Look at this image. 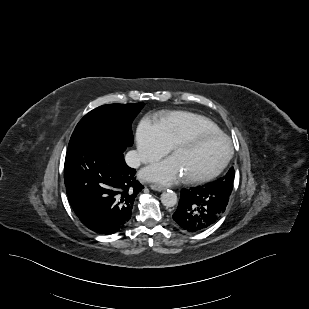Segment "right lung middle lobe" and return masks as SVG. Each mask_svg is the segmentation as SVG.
I'll use <instances>...</instances> for the list:
<instances>
[{
    "mask_svg": "<svg viewBox=\"0 0 309 309\" xmlns=\"http://www.w3.org/2000/svg\"><path fill=\"white\" fill-rule=\"evenodd\" d=\"M144 103L108 104L95 108L77 124L71 138L86 132H98L116 137L126 146L133 144L131 124Z\"/></svg>",
    "mask_w": 309,
    "mask_h": 309,
    "instance_id": "1",
    "label": "right lung middle lobe"
}]
</instances>
